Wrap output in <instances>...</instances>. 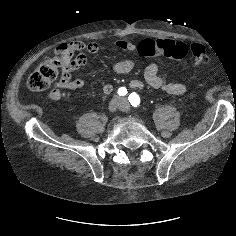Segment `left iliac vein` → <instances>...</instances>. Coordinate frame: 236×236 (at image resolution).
Segmentation results:
<instances>
[{"instance_id":"left-iliac-vein-1","label":"left iliac vein","mask_w":236,"mask_h":236,"mask_svg":"<svg viewBox=\"0 0 236 236\" xmlns=\"http://www.w3.org/2000/svg\"><path fill=\"white\" fill-rule=\"evenodd\" d=\"M121 110L124 112L129 113L130 112V107L127 103V100L125 98L122 99V106H121Z\"/></svg>"}]
</instances>
